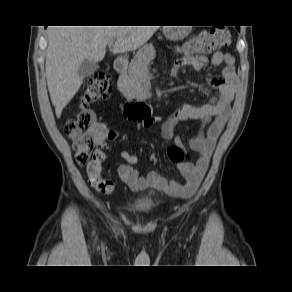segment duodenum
Returning a JSON list of instances; mask_svg holds the SVG:
<instances>
[{
  "label": "duodenum",
  "instance_id": "duodenum-1",
  "mask_svg": "<svg viewBox=\"0 0 292 292\" xmlns=\"http://www.w3.org/2000/svg\"><path fill=\"white\" fill-rule=\"evenodd\" d=\"M113 67L117 73L123 74L127 68V60L125 58L118 57L115 59ZM124 113L129 118H140L144 121L143 117L149 118L151 109L145 102L130 101L124 104Z\"/></svg>",
  "mask_w": 292,
  "mask_h": 292
}]
</instances>
